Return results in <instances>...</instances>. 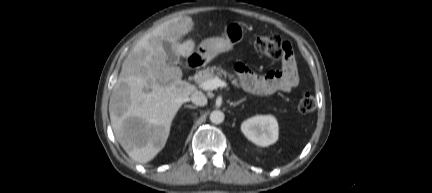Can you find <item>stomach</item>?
<instances>
[{
    "mask_svg": "<svg viewBox=\"0 0 432 193\" xmlns=\"http://www.w3.org/2000/svg\"><path fill=\"white\" fill-rule=\"evenodd\" d=\"M244 37V28L240 22H230L225 26L223 37H212L203 40L196 53L206 62L211 61L218 54L227 52L241 42Z\"/></svg>",
    "mask_w": 432,
    "mask_h": 193,
    "instance_id": "stomach-1",
    "label": "stomach"
}]
</instances>
